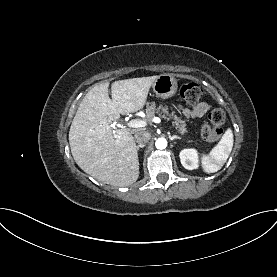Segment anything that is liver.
<instances>
[{"label":"liver","mask_w":277,"mask_h":277,"mask_svg":"<svg viewBox=\"0 0 277 277\" xmlns=\"http://www.w3.org/2000/svg\"><path fill=\"white\" fill-rule=\"evenodd\" d=\"M158 76L118 80L93 87L83 98L69 131L71 153L77 165L98 181L117 187L139 177L137 146L130 130H113L120 114L134 113L146 103Z\"/></svg>","instance_id":"obj_1"}]
</instances>
